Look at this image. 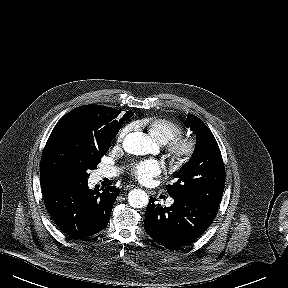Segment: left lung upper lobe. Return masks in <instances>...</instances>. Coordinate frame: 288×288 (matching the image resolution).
Returning <instances> with one entry per match:
<instances>
[{"mask_svg":"<svg viewBox=\"0 0 288 288\" xmlns=\"http://www.w3.org/2000/svg\"><path fill=\"white\" fill-rule=\"evenodd\" d=\"M186 126L196 133V148L167 185L173 198L190 199L218 209L225 187V170L219 146L212 132L198 117L188 114Z\"/></svg>","mask_w":288,"mask_h":288,"instance_id":"obj_1","label":"left lung upper lobe"}]
</instances>
